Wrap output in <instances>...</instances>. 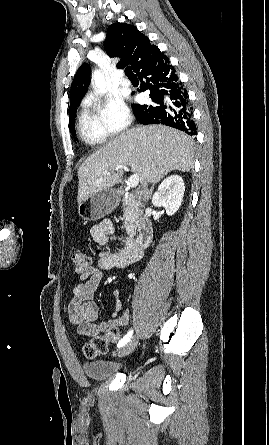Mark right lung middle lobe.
Masks as SVG:
<instances>
[{
    "instance_id": "dd1d6c3e",
    "label": "right lung middle lobe",
    "mask_w": 269,
    "mask_h": 445,
    "mask_svg": "<svg viewBox=\"0 0 269 445\" xmlns=\"http://www.w3.org/2000/svg\"><path fill=\"white\" fill-rule=\"evenodd\" d=\"M78 104L73 105L71 108H69V127L72 132V135L75 138V116H76V110H77Z\"/></svg>"
}]
</instances>
